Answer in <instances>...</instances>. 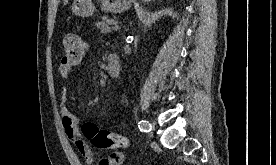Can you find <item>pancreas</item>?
Listing matches in <instances>:
<instances>
[{
    "label": "pancreas",
    "instance_id": "pancreas-1",
    "mask_svg": "<svg viewBox=\"0 0 276 165\" xmlns=\"http://www.w3.org/2000/svg\"><path fill=\"white\" fill-rule=\"evenodd\" d=\"M112 23V19H110L108 16H103L102 21H97L95 25L101 31V33H110Z\"/></svg>",
    "mask_w": 276,
    "mask_h": 165
}]
</instances>
